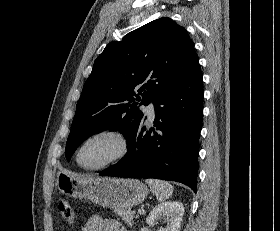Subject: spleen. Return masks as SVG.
I'll return each mask as SVG.
<instances>
[{
  "label": "spleen",
  "instance_id": "3e777b00",
  "mask_svg": "<svg viewBox=\"0 0 280 231\" xmlns=\"http://www.w3.org/2000/svg\"><path fill=\"white\" fill-rule=\"evenodd\" d=\"M145 181L152 193H155L158 201H166L172 195L173 185L168 181H161V179H145Z\"/></svg>",
  "mask_w": 280,
  "mask_h": 231
}]
</instances>
